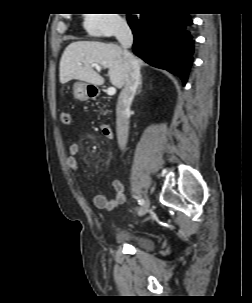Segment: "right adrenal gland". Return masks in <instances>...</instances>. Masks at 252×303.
<instances>
[{"label": "right adrenal gland", "mask_w": 252, "mask_h": 303, "mask_svg": "<svg viewBox=\"0 0 252 303\" xmlns=\"http://www.w3.org/2000/svg\"><path fill=\"white\" fill-rule=\"evenodd\" d=\"M141 88H142V76H140V79H139V86H138V90H137V93L136 94H139L141 92Z\"/></svg>", "instance_id": "1"}]
</instances>
